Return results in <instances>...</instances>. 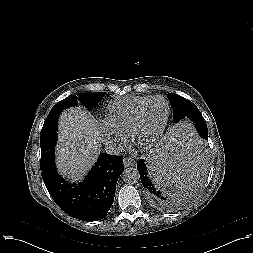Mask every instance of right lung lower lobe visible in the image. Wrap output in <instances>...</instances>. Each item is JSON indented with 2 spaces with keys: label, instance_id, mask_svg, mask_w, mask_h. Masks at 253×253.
I'll use <instances>...</instances> for the list:
<instances>
[{
  "label": "right lung lower lobe",
  "instance_id": "98d812e1",
  "mask_svg": "<svg viewBox=\"0 0 253 253\" xmlns=\"http://www.w3.org/2000/svg\"><path fill=\"white\" fill-rule=\"evenodd\" d=\"M40 166L53 200L66 214L82 221H97L108 215L117 180L124 170L122 157L101 153L86 179L71 185L56 172L54 156L41 160Z\"/></svg>",
  "mask_w": 253,
  "mask_h": 253
}]
</instances>
